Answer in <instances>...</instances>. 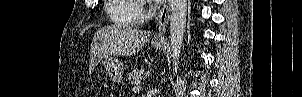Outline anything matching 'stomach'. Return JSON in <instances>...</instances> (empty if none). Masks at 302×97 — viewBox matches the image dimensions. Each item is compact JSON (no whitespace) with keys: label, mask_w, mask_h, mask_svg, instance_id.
I'll list each match as a JSON object with an SVG mask.
<instances>
[{"label":"stomach","mask_w":302,"mask_h":97,"mask_svg":"<svg viewBox=\"0 0 302 97\" xmlns=\"http://www.w3.org/2000/svg\"><path fill=\"white\" fill-rule=\"evenodd\" d=\"M153 46L157 50H162L164 44L154 42ZM99 64L101 65V67H103L106 70L108 76L113 82L118 83L122 80L124 74V67L122 63L118 61L117 58L108 55L100 59Z\"/></svg>","instance_id":"stomach-1"}]
</instances>
